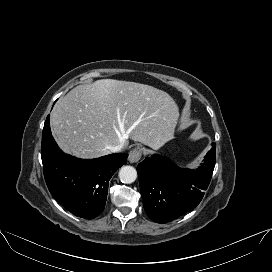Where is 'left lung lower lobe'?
Masks as SVG:
<instances>
[{
  "label": "left lung lower lobe",
  "mask_w": 272,
  "mask_h": 272,
  "mask_svg": "<svg viewBox=\"0 0 272 272\" xmlns=\"http://www.w3.org/2000/svg\"><path fill=\"white\" fill-rule=\"evenodd\" d=\"M215 143L197 170L181 169L160 155L138 164L144 209L151 220L167 223L194 209L202 200L215 166Z\"/></svg>",
  "instance_id": "left-lung-lower-lobe-1"
}]
</instances>
